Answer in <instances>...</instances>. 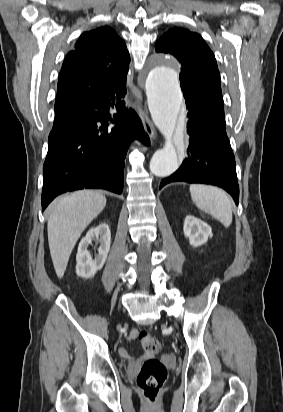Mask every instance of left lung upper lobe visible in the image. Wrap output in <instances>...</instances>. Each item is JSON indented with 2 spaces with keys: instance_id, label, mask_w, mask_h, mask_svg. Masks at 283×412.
<instances>
[{
  "instance_id": "obj_1",
  "label": "left lung upper lobe",
  "mask_w": 283,
  "mask_h": 412,
  "mask_svg": "<svg viewBox=\"0 0 283 412\" xmlns=\"http://www.w3.org/2000/svg\"><path fill=\"white\" fill-rule=\"evenodd\" d=\"M155 49L172 54L180 62L179 78L186 104L198 106L209 116L225 118L217 63L200 35L183 28L169 29Z\"/></svg>"
}]
</instances>
